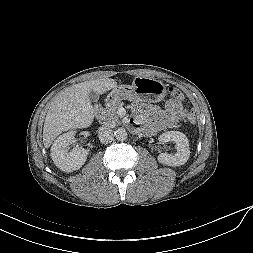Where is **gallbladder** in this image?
<instances>
[{
    "label": "gallbladder",
    "mask_w": 253,
    "mask_h": 253,
    "mask_svg": "<svg viewBox=\"0 0 253 253\" xmlns=\"http://www.w3.org/2000/svg\"><path fill=\"white\" fill-rule=\"evenodd\" d=\"M88 97L89 99L92 101V102H96L98 99H99V95L97 92L91 90L89 93H88Z\"/></svg>",
    "instance_id": "1"
}]
</instances>
